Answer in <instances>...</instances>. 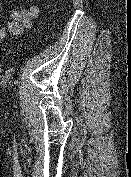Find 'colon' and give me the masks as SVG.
Segmentation results:
<instances>
[{"label":"colon","instance_id":"5ec220e1","mask_svg":"<svg viewBox=\"0 0 131 177\" xmlns=\"http://www.w3.org/2000/svg\"><path fill=\"white\" fill-rule=\"evenodd\" d=\"M4 64H2V62L0 61V70H2Z\"/></svg>","mask_w":131,"mask_h":177}]
</instances>
